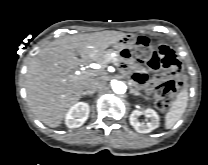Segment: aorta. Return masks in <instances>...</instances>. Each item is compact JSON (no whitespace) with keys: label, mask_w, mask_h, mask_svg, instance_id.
I'll list each match as a JSON object with an SVG mask.
<instances>
[{"label":"aorta","mask_w":208,"mask_h":165,"mask_svg":"<svg viewBox=\"0 0 208 165\" xmlns=\"http://www.w3.org/2000/svg\"><path fill=\"white\" fill-rule=\"evenodd\" d=\"M112 89L116 94H124L126 92V85L121 81H115L112 84Z\"/></svg>","instance_id":"aorta-1"}]
</instances>
